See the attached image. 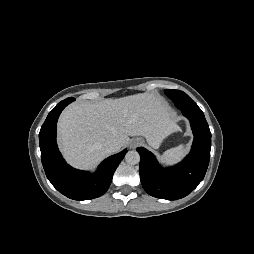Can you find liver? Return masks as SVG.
Instances as JSON below:
<instances>
[{
    "mask_svg": "<svg viewBox=\"0 0 254 254\" xmlns=\"http://www.w3.org/2000/svg\"><path fill=\"white\" fill-rule=\"evenodd\" d=\"M178 129L165 100L139 93L98 103H74L60 116L59 142L66 160L77 168L95 166L108 154L105 147L128 145L129 136H143L152 147Z\"/></svg>",
    "mask_w": 254,
    "mask_h": 254,
    "instance_id": "liver-1",
    "label": "liver"
}]
</instances>
